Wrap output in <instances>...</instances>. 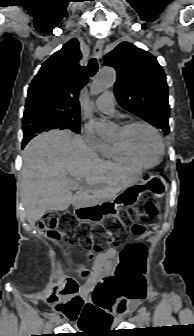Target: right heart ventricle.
<instances>
[{
  "mask_svg": "<svg viewBox=\"0 0 194 336\" xmlns=\"http://www.w3.org/2000/svg\"><path fill=\"white\" fill-rule=\"evenodd\" d=\"M99 153L103 158L118 164L130 166L138 170L146 168L134 161L117 142L105 143Z\"/></svg>",
  "mask_w": 194,
  "mask_h": 336,
  "instance_id": "e07e8e85",
  "label": "right heart ventricle"
}]
</instances>
